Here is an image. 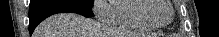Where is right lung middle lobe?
Segmentation results:
<instances>
[{
    "label": "right lung middle lobe",
    "mask_w": 219,
    "mask_h": 37,
    "mask_svg": "<svg viewBox=\"0 0 219 37\" xmlns=\"http://www.w3.org/2000/svg\"><path fill=\"white\" fill-rule=\"evenodd\" d=\"M36 1H38V0H31L30 2H36ZM78 2H80L84 5L92 7V0H78Z\"/></svg>",
    "instance_id": "obj_1"
}]
</instances>
